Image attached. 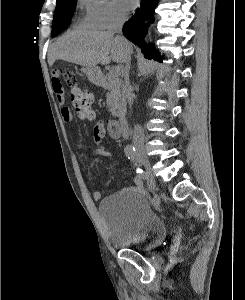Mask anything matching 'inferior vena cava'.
<instances>
[{"mask_svg": "<svg viewBox=\"0 0 245 300\" xmlns=\"http://www.w3.org/2000/svg\"><path fill=\"white\" fill-rule=\"evenodd\" d=\"M126 21V15L120 14L118 15L113 23V28L112 31L114 33L121 34L122 32V27L124 22ZM119 39L124 41V37L119 35L117 36ZM125 68H124V76H125V92L126 96L128 97L129 100V105L131 106L133 104V94H132V88L130 86V81H129V71H130V59H128L126 62ZM133 142L134 146L137 151L143 150V145H144V134L139 125H135L134 131H133Z\"/></svg>", "mask_w": 245, "mask_h": 300, "instance_id": "obj_1", "label": "inferior vena cava"}]
</instances>
